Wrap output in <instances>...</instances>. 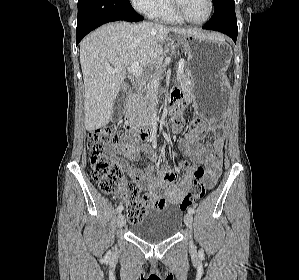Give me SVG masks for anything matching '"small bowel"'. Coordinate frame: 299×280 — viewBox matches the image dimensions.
Returning <instances> with one entry per match:
<instances>
[{
    "label": "small bowel",
    "instance_id": "c3829d8e",
    "mask_svg": "<svg viewBox=\"0 0 299 280\" xmlns=\"http://www.w3.org/2000/svg\"><path fill=\"white\" fill-rule=\"evenodd\" d=\"M182 108L183 103L173 117L175 131L181 130L182 127ZM201 128L202 133H196V136H184L179 141L180 150L189 156L191 162L181 177L168 169L165 159H156V162L144 171L130 167L125 161L117 158L116 154H119L129 160L138 161L142 152L152 154L149 145L140 143L132 136H126L120 143L109 148L110 154L121 164L123 170L141 190L146 191L143 201L147 208L180 205L191 190L195 179V168L199 165L205 167V181L211 182L212 185L215 183L222 169L226 126L217 120H211L202 123ZM209 132L215 135L212 143H195V141L203 140ZM120 197L124 198L125 194H121Z\"/></svg>",
    "mask_w": 299,
    "mask_h": 280
}]
</instances>
